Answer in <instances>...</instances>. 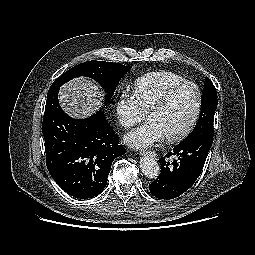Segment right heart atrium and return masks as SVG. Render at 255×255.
I'll list each match as a JSON object with an SVG mask.
<instances>
[{
    "mask_svg": "<svg viewBox=\"0 0 255 255\" xmlns=\"http://www.w3.org/2000/svg\"><path fill=\"white\" fill-rule=\"evenodd\" d=\"M115 114L123 128L133 127L146 116L134 94L128 89L120 92L115 104Z\"/></svg>",
    "mask_w": 255,
    "mask_h": 255,
    "instance_id": "d8ad5b80",
    "label": "right heart atrium"
}]
</instances>
